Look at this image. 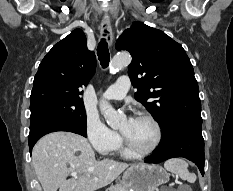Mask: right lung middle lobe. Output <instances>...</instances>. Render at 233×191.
Instances as JSON below:
<instances>
[{
  "mask_svg": "<svg viewBox=\"0 0 233 191\" xmlns=\"http://www.w3.org/2000/svg\"><path fill=\"white\" fill-rule=\"evenodd\" d=\"M30 129L43 123H65L86 132L83 102L46 95L30 100Z\"/></svg>",
  "mask_w": 233,
  "mask_h": 191,
  "instance_id": "1",
  "label": "right lung middle lobe"
}]
</instances>
